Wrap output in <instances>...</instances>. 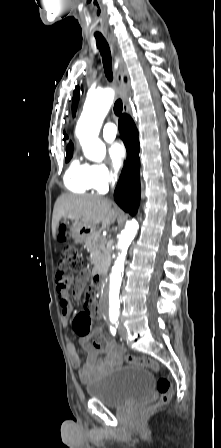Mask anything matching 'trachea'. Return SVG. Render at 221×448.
<instances>
[{
	"mask_svg": "<svg viewBox=\"0 0 221 448\" xmlns=\"http://www.w3.org/2000/svg\"><path fill=\"white\" fill-rule=\"evenodd\" d=\"M95 38L97 42V47L99 48L102 56L103 67L106 77L111 82L113 80V72H112L111 52L109 45L103 36H95ZM122 109H123L122 101L121 99H117L114 104V113L117 116H120L122 113Z\"/></svg>",
	"mask_w": 221,
	"mask_h": 448,
	"instance_id": "trachea-1",
	"label": "trachea"
}]
</instances>
